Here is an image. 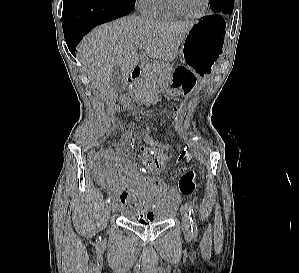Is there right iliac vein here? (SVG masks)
I'll return each mask as SVG.
<instances>
[{"label": "right iliac vein", "mask_w": 299, "mask_h": 273, "mask_svg": "<svg viewBox=\"0 0 299 273\" xmlns=\"http://www.w3.org/2000/svg\"><path fill=\"white\" fill-rule=\"evenodd\" d=\"M117 208H118V203H117L116 200H113V201L111 202V210H112L113 212H115V211L117 210Z\"/></svg>", "instance_id": "right-iliac-vein-1"}]
</instances>
